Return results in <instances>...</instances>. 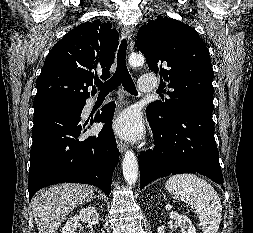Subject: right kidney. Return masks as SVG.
Listing matches in <instances>:
<instances>
[{"label": "right kidney", "mask_w": 253, "mask_h": 233, "mask_svg": "<svg viewBox=\"0 0 253 233\" xmlns=\"http://www.w3.org/2000/svg\"><path fill=\"white\" fill-rule=\"evenodd\" d=\"M79 219L85 220L89 225H96L98 224L97 210L92 206L82 208L79 215L70 217L67 220L62 229V233H75L74 231L76 230Z\"/></svg>", "instance_id": "1"}]
</instances>
